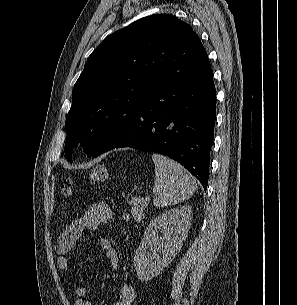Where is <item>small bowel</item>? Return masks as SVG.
I'll list each match as a JSON object with an SVG mask.
<instances>
[{"label":"small bowel","instance_id":"obj_1","mask_svg":"<svg viewBox=\"0 0 297 305\" xmlns=\"http://www.w3.org/2000/svg\"><path fill=\"white\" fill-rule=\"evenodd\" d=\"M112 218V210L105 203L92 204L78 219L65 225L57 237L55 250L57 253V266L65 271L68 268L67 253L75 245L84 229L99 230ZM98 243L106 254L108 264L111 268L118 266V256L110 240L104 236L98 237ZM77 297L76 305H95L92 300L86 299L87 289L79 285L75 289ZM135 288L131 284H123L118 291V299L111 305H131L135 300Z\"/></svg>","mask_w":297,"mask_h":305}]
</instances>
